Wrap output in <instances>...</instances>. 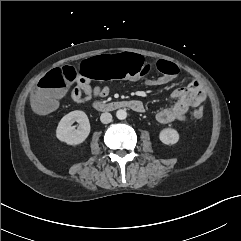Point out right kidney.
I'll use <instances>...</instances> for the list:
<instances>
[{"mask_svg":"<svg viewBox=\"0 0 241 241\" xmlns=\"http://www.w3.org/2000/svg\"><path fill=\"white\" fill-rule=\"evenodd\" d=\"M77 121L79 126L75 129L72 124ZM90 133V122L83 111H72L65 115L56 129V137L67 145L76 146L83 143Z\"/></svg>","mask_w":241,"mask_h":241,"instance_id":"ca27d5eb","label":"right kidney"}]
</instances>
